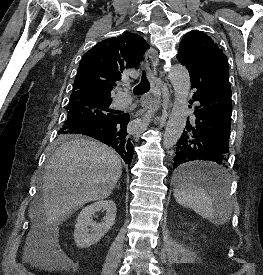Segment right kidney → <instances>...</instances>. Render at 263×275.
I'll return each mask as SVG.
<instances>
[{
	"mask_svg": "<svg viewBox=\"0 0 263 275\" xmlns=\"http://www.w3.org/2000/svg\"><path fill=\"white\" fill-rule=\"evenodd\" d=\"M101 210L106 211L104 222L96 223L91 216ZM116 212V204L112 200L97 201L83 208L78 215L73 234L76 245L80 248H88L97 243L113 226Z\"/></svg>",
	"mask_w": 263,
	"mask_h": 275,
	"instance_id": "obj_1",
	"label": "right kidney"
}]
</instances>
